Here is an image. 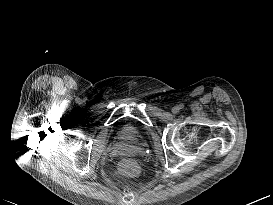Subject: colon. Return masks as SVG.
<instances>
[{
	"instance_id": "colon-1",
	"label": "colon",
	"mask_w": 273,
	"mask_h": 205,
	"mask_svg": "<svg viewBox=\"0 0 273 205\" xmlns=\"http://www.w3.org/2000/svg\"><path fill=\"white\" fill-rule=\"evenodd\" d=\"M119 170L121 175L130 177L137 172V165L133 161L126 160L121 163Z\"/></svg>"
}]
</instances>
